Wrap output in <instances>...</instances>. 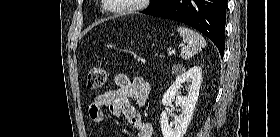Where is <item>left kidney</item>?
<instances>
[{
  "mask_svg": "<svg viewBox=\"0 0 280 137\" xmlns=\"http://www.w3.org/2000/svg\"><path fill=\"white\" fill-rule=\"evenodd\" d=\"M202 80V69L194 66L184 71L175 79L173 84L165 92L162 98L164 106H170L172 100L176 98L177 105L180 107V114L175 117L174 121L169 124L168 112L165 110L161 113L160 127L163 137H183L191 122L195 105L199 96V90ZM187 83V95L182 96L178 89L182 84Z\"/></svg>",
  "mask_w": 280,
  "mask_h": 137,
  "instance_id": "left-kidney-1",
  "label": "left kidney"
}]
</instances>
